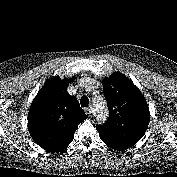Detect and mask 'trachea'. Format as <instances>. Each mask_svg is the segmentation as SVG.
<instances>
[{"mask_svg": "<svg viewBox=\"0 0 177 177\" xmlns=\"http://www.w3.org/2000/svg\"><path fill=\"white\" fill-rule=\"evenodd\" d=\"M80 104L82 107H87L89 104V99L87 96H82L80 99Z\"/></svg>", "mask_w": 177, "mask_h": 177, "instance_id": "3493384b", "label": "trachea"}]
</instances>
